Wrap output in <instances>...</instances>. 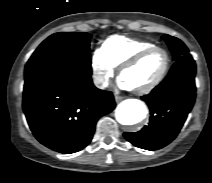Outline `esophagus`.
Here are the masks:
<instances>
[{
	"label": "esophagus",
	"mask_w": 212,
	"mask_h": 183,
	"mask_svg": "<svg viewBox=\"0 0 212 183\" xmlns=\"http://www.w3.org/2000/svg\"><path fill=\"white\" fill-rule=\"evenodd\" d=\"M121 100H122V97H121V96L115 95V101H116V102H119V101H121Z\"/></svg>",
	"instance_id": "esophagus-1"
}]
</instances>
